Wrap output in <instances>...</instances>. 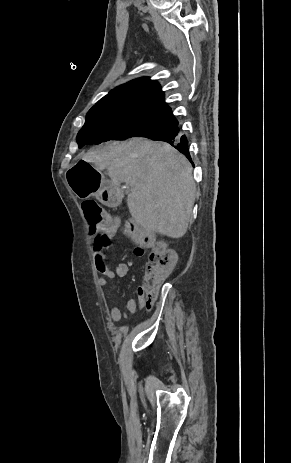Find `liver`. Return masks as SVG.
Wrapping results in <instances>:
<instances>
[{"label":"liver","mask_w":291,"mask_h":463,"mask_svg":"<svg viewBox=\"0 0 291 463\" xmlns=\"http://www.w3.org/2000/svg\"><path fill=\"white\" fill-rule=\"evenodd\" d=\"M82 160L107 169L113 186H129L127 205L149 232L181 238L187 231L196 186L184 155L164 142L132 138L88 151Z\"/></svg>","instance_id":"obj_1"}]
</instances>
